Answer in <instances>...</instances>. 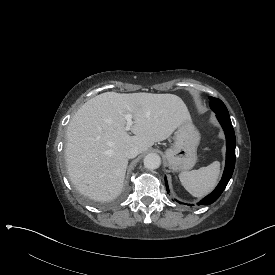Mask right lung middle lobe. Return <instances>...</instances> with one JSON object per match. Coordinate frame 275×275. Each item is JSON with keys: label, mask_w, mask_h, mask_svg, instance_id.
<instances>
[{"label": "right lung middle lobe", "mask_w": 275, "mask_h": 275, "mask_svg": "<svg viewBox=\"0 0 275 275\" xmlns=\"http://www.w3.org/2000/svg\"><path fill=\"white\" fill-rule=\"evenodd\" d=\"M69 188L73 189L74 185L70 184ZM128 190H129V186L125 185L123 192L120 195L121 199L117 198L116 202H96L94 200L89 201L88 199L90 198V195L86 194V193L81 194V190L78 187L74 188L73 196L79 200H82V202L85 203L86 205L90 204L91 206H94V207H119L122 205V203H123L122 199H124L126 197Z\"/></svg>", "instance_id": "obj_1"}]
</instances>
